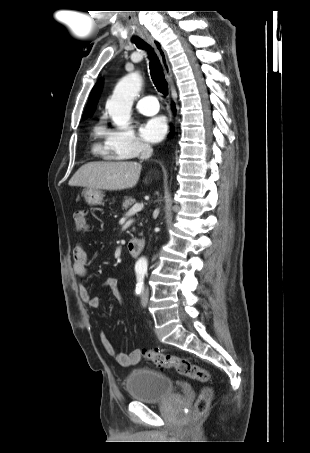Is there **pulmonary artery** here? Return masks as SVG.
I'll return each instance as SVG.
<instances>
[{
  "mask_svg": "<svg viewBox=\"0 0 310 453\" xmlns=\"http://www.w3.org/2000/svg\"><path fill=\"white\" fill-rule=\"evenodd\" d=\"M136 108L144 115H154L159 111V103L152 95L144 96L138 100Z\"/></svg>",
  "mask_w": 310,
  "mask_h": 453,
  "instance_id": "obj_1",
  "label": "pulmonary artery"
}]
</instances>
